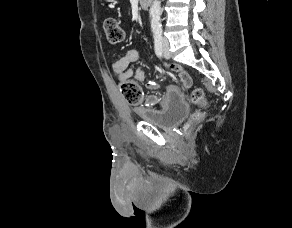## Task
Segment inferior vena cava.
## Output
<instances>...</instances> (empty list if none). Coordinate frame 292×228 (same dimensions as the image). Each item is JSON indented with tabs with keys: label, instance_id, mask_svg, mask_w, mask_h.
Listing matches in <instances>:
<instances>
[{
	"label": "inferior vena cava",
	"instance_id": "1",
	"mask_svg": "<svg viewBox=\"0 0 292 228\" xmlns=\"http://www.w3.org/2000/svg\"><path fill=\"white\" fill-rule=\"evenodd\" d=\"M163 41H164V42H166V39H165V38H163Z\"/></svg>",
	"mask_w": 292,
	"mask_h": 228
}]
</instances>
